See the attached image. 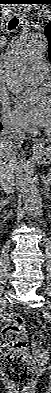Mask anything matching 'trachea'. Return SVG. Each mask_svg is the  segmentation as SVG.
I'll return each instance as SVG.
<instances>
[{
  "label": "trachea",
  "instance_id": "trachea-1",
  "mask_svg": "<svg viewBox=\"0 0 51 393\" xmlns=\"http://www.w3.org/2000/svg\"><path fill=\"white\" fill-rule=\"evenodd\" d=\"M19 23V19L18 18H12L9 23H8V29L9 30H13L14 28H16V26Z\"/></svg>",
  "mask_w": 51,
  "mask_h": 393
}]
</instances>
